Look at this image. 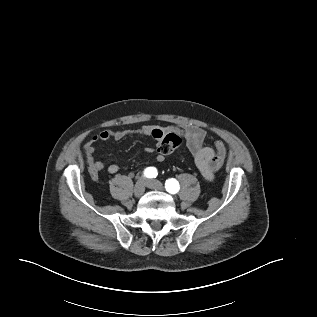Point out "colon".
<instances>
[{
  "mask_svg": "<svg viewBox=\"0 0 317 317\" xmlns=\"http://www.w3.org/2000/svg\"><path fill=\"white\" fill-rule=\"evenodd\" d=\"M182 144V138L178 133L170 132L159 142L157 149L163 154L168 155L177 150Z\"/></svg>",
  "mask_w": 317,
  "mask_h": 317,
  "instance_id": "obj_1",
  "label": "colon"
}]
</instances>
